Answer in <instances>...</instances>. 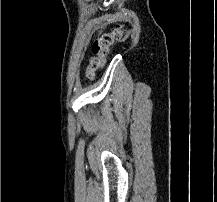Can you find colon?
Here are the masks:
<instances>
[{"label": "colon", "mask_w": 217, "mask_h": 202, "mask_svg": "<svg viewBox=\"0 0 217 202\" xmlns=\"http://www.w3.org/2000/svg\"><path fill=\"white\" fill-rule=\"evenodd\" d=\"M126 37V30L122 23H116L110 32L101 35L93 44V55L85 67V79H94V70L104 67L110 47L121 42Z\"/></svg>", "instance_id": "colon-1"}]
</instances>
